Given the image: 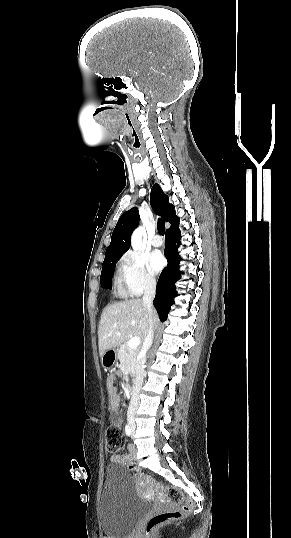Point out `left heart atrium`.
Returning <instances> with one entry per match:
<instances>
[{
	"mask_svg": "<svg viewBox=\"0 0 291 538\" xmlns=\"http://www.w3.org/2000/svg\"><path fill=\"white\" fill-rule=\"evenodd\" d=\"M165 261L159 252H154L149 258L148 267L151 273L157 274L164 266Z\"/></svg>",
	"mask_w": 291,
	"mask_h": 538,
	"instance_id": "left-heart-atrium-1",
	"label": "left heart atrium"
}]
</instances>
